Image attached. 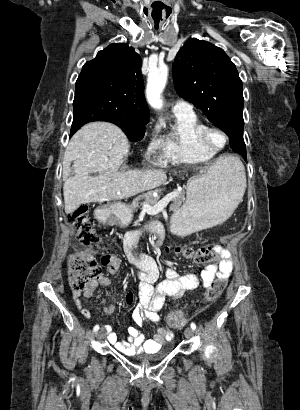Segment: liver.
Returning a JSON list of instances; mask_svg holds the SVG:
<instances>
[{"mask_svg":"<svg viewBox=\"0 0 300 410\" xmlns=\"http://www.w3.org/2000/svg\"><path fill=\"white\" fill-rule=\"evenodd\" d=\"M130 149L129 141L117 126L106 122L84 125L70 140L63 160V196L66 214L81 204L121 200L162 185V169L119 171ZM227 158L212 166L222 167ZM73 162V176L68 177ZM98 172V176L90 173Z\"/></svg>","mask_w":300,"mask_h":410,"instance_id":"obj_1","label":"liver"}]
</instances>
